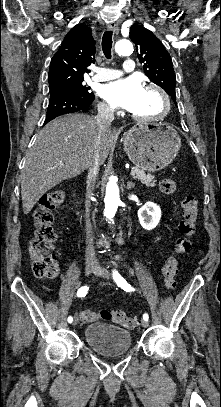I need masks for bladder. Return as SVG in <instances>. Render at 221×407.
Returning a JSON list of instances; mask_svg holds the SVG:
<instances>
[{
	"mask_svg": "<svg viewBox=\"0 0 221 407\" xmlns=\"http://www.w3.org/2000/svg\"><path fill=\"white\" fill-rule=\"evenodd\" d=\"M86 344L95 352L113 357L126 353L132 343L129 330L107 323H92L84 330Z\"/></svg>",
	"mask_w": 221,
	"mask_h": 407,
	"instance_id": "obj_1",
	"label": "bladder"
}]
</instances>
